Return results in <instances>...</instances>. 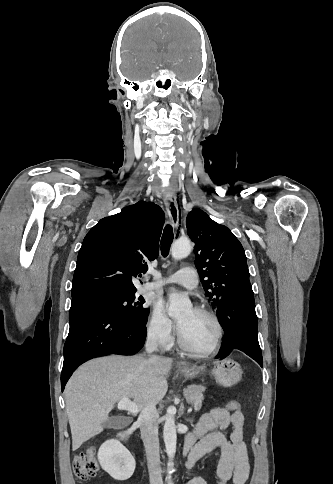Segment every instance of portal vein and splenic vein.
Returning a JSON list of instances; mask_svg holds the SVG:
<instances>
[{
    "mask_svg": "<svg viewBox=\"0 0 333 484\" xmlns=\"http://www.w3.org/2000/svg\"><path fill=\"white\" fill-rule=\"evenodd\" d=\"M118 409L129 411L132 414H137L139 408L129 398H123L118 402Z\"/></svg>",
    "mask_w": 333,
    "mask_h": 484,
    "instance_id": "portal-vein-and-splenic-vein-1",
    "label": "portal vein and splenic vein"
}]
</instances>
